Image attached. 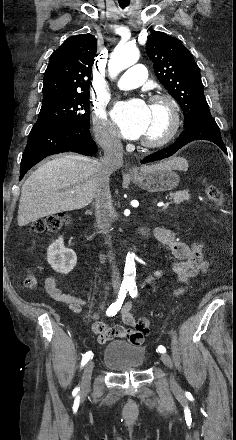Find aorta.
Instances as JSON below:
<instances>
[{
  "label": "aorta",
  "mask_w": 236,
  "mask_h": 440,
  "mask_svg": "<svg viewBox=\"0 0 236 440\" xmlns=\"http://www.w3.org/2000/svg\"><path fill=\"white\" fill-rule=\"evenodd\" d=\"M140 57L135 47L118 46L111 55L108 70L111 77H116L124 69L134 65ZM136 273V264L133 253H128L125 260L124 280H132Z\"/></svg>",
  "instance_id": "obj_1"
}]
</instances>
